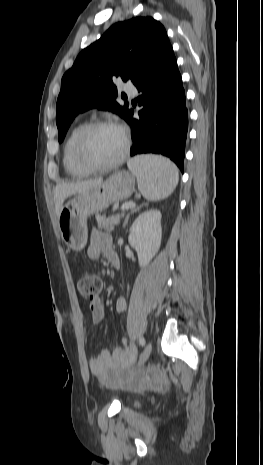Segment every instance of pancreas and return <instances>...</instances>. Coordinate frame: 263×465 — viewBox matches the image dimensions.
<instances>
[{"mask_svg":"<svg viewBox=\"0 0 263 465\" xmlns=\"http://www.w3.org/2000/svg\"><path fill=\"white\" fill-rule=\"evenodd\" d=\"M124 216V212L117 214L108 218H105L101 215H96V220L98 223L99 229H104L107 232L114 230L115 226L119 225L120 219Z\"/></svg>","mask_w":263,"mask_h":465,"instance_id":"pancreas-1","label":"pancreas"}]
</instances>
